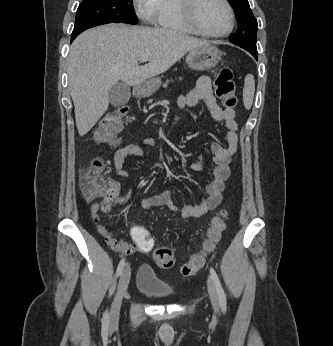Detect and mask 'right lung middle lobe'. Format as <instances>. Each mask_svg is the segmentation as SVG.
<instances>
[{
  "instance_id": "right-lung-middle-lobe-1",
  "label": "right lung middle lobe",
  "mask_w": 333,
  "mask_h": 346,
  "mask_svg": "<svg viewBox=\"0 0 333 346\" xmlns=\"http://www.w3.org/2000/svg\"><path fill=\"white\" fill-rule=\"evenodd\" d=\"M133 0H83L76 12L73 36L107 23L136 24Z\"/></svg>"
}]
</instances>
